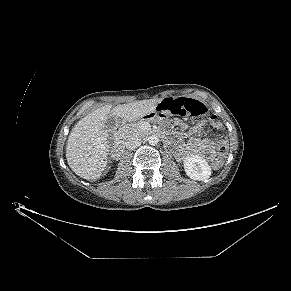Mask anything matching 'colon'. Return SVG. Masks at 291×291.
<instances>
[{"mask_svg":"<svg viewBox=\"0 0 291 291\" xmlns=\"http://www.w3.org/2000/svg\"><path fill=\"white\" fill-rule=\"evenodd\" d=\"M158 110L162 113L171 114L174 116H192V117H204L212 121L217 122L216 115L209 110L202 102L190 99V98H166L158 106ZM228 151V145L226 142L221 141L218 144V152L220 155L226 154ZM223 165V159L221 157L214 160L212 167L218 169Z\"/></svg>","mask_w":291,"mask_h":291,"instance_id":"5ec220e1","label":"colon"}]
</instances>
